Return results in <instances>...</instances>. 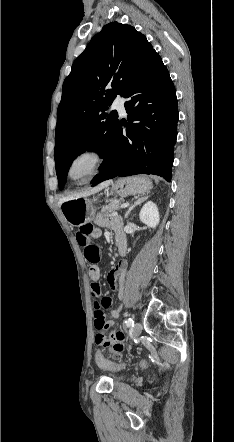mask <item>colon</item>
I'll return each instance as SVG.
<instances>
[{"instance_id": "colon-1", "label": "colon", "mask_w": 234, "mask_h": 442, "mask_svg": "<svg viewBox=\"0 0 234 442\" xmlns=\"http://www.w3.org/2000/svg\"><path fill=\"white\" fill-rule=\"evenodd\" d=\"M95 228L91 224L83 225L79 231L77 232V241L78 243L84 247V255L86 259L94 264L90 268V277L94 281L92 295L94 297V316L95 314H105V310L110 306L109 300L107 297H102L101 289L96 281L100 277V269L95 265L100 260V249L97 245L90 243V239L94 234ZM108 329V328H107ZM105 334V333H104ZM98 340V339H97ZM115 350V349H114ZM123 350V348L121 349ZM95 366L99 367L100 370L105 371L107 369L114 370L115 364L109 363V361L103 358L102 353L97 351L95 353Z\"/></svg>"}]
</instances>
